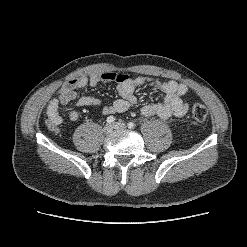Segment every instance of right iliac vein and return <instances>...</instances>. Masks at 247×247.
Returning <instances> with one entry per match:
<instances>
[{
  "mask_svg": "<svg viewBox=\"0 0 247 247\" xmlns=\"http://www.w3.org/2000/svg\"><path fill=\"white\" fill-rule=\"evenodd\" d=\"M112 130H113V127H112L111 124H106V125L104 126V128H103V131H104L106 134L111 133Z\"/></svg>",
  "mask_w": 247,
  "mask_h": 247,
  "instance_id": "obj_1",
  "label": "right iliac vein"
}]
</instances>
